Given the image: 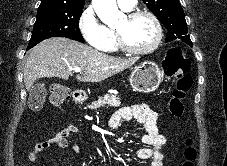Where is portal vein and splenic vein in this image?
I'll use <instances>...</instances> for the list:
<instances>
[{
  "label": "portal vein and splenic vein",
  "mask_w": 227,
  "mask_h": 166,
  "mask_svg": "<svg viewBox=\"0 0 227 166\" xmlns=\"http://www.w3.org/2000/svg\"><path fill=\"white\" fill-rule=\"evenodd\" d=\"M73 70H74L75 72H81V69L78 68V67L73 68Z\"/></svg>",
  "instance_id": "1"
}]
</instances>
